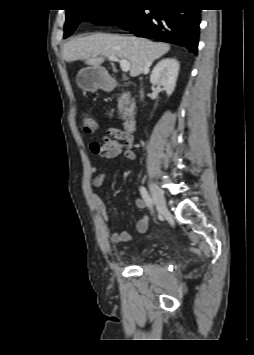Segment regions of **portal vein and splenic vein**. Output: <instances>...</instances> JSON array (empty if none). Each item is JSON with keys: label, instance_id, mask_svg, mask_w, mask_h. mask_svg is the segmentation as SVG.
Instances as JSON below:
<instances>
[{"label": "portal vein and splenic vein", "instance_id": "portal-vein-and-splenic-vein-1", "mask_svg": "<svg viewBox=\"0 0 254 355\" xmlns=\"http://www.w3.org/2000/svg\"><path fill=\"white\" fill-rule=\"evenodd\" d=\"M108 59L110 61H116L120 63L121 70L124 72H128L130 70V63L126 59H119L116 56H109Z\"/></svg>", "mask_w": 254, "mask_h": 355}]
</instances>
